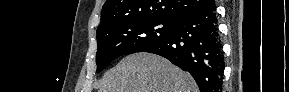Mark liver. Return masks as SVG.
Here are the masks:
<instances>
[{"label": "liver", "mask_w": 289, "mask_h": 92, "mask_svg": "<svg viewBox=\"0 0 289 92\" xmlns=\"http://www.w3.org/2000/svg\"><path fill=\"white\" fill-rule=\"evenodd\" d=\"M189 73L150 53L123 58L104 76L99 92H198Z\"/></svg>", "instance_id": "obj_1"}]
</instances>
